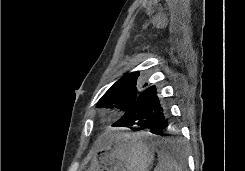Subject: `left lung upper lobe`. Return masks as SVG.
Here are the masks:
<instances>
[{"instance_id": "1", "label": "left lung upper lobe", "mask_w": 245, "mask_h": 171, "mask_svg": "<svg viewBox=\"0 0 245 171\" xmlns=\"http://www.w3.org/2000/svg\"><path fill=\"white\" fill-rule=\"evenodd\" d=\"M138 77L139 71L124 74V76L115 82L102 96L97 103V108L116 107L124 112L128 111L141 93L136 87Z\"/></svg>"}]
</instances>
